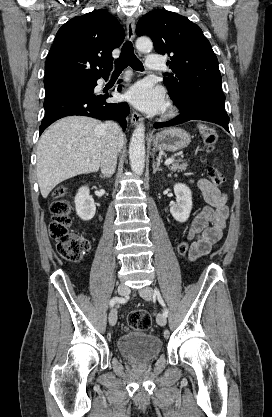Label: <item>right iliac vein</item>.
<instances>
[{
	"mask_svg": "<svg viewBox=\"0 0 272 417\" xmlns=\"http://www.w3.org/2000/svg\"><path fill=\"white\" fill-rule=\"evenodd\" d=\"M118 293L121 296H127L130 293V289L127 285L125 284H120L118 286ZM117 322V309L116 308H112L110 313H109V323L111 326H114Z\"/></svg>",
	"mask_w": 272,
	"mask_h": 417,
	"instance_id": "1",
	"label": "right iliac vein"
}]
</instances>
